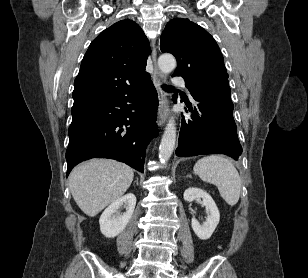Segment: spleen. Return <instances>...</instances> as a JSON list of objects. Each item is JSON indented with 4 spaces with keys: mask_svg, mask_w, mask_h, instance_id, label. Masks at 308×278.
I'll return each instance as SVG.
<instances>
[{
    "mask_svg": "<svg viewBox=\"0 0 308 278\" xmlns=\"http://www.w3.org/2000/svg\"><path fill=\"white\" fill-rule=\"evenodd\" d=\"M194 172L202 181L217 186L221 197L228 205L234 206L237 204L240 198L242 181L230 160L219 155H209L196 162Z\"/></svg>",
    "mask_w": 308,
    "mask_h": 278,
    "instance_id": "obj_1",
    "label": "spleen"
}]
</instances>
